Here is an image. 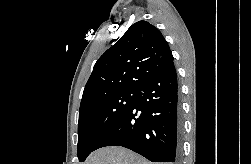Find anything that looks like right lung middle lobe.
Here are the masks:
<instances>
[{
	"label": "right lung middle lobe",
	"mask_w": 251,
	"mask_h": 164,
	"mask_svg": "<svg viewBox=\"0 0 251 164\" xmlns=\"http://www.w3.org/2000/svg\"><path fill=\"white\" fill-rule=\"evenodd\" d=\"M137 89L104 94L80 107L78 122V158L84 162L103 136L132 107Z\"/></svg>",
	"instance_id": "dd1d6c3e"
}]
</instances>
